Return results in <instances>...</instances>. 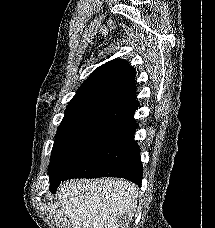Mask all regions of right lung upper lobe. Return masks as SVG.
<instances>
[{"label":"right lung upper lobe","instance_id":"cb5924a9","mask_svg":"<svg viewBox=\"0 0 215 228\" xmlns=\"http://www.w3.org/2000/svg\"><path fill=\"white\" fill-rule=\"evenodd\" d=\"M135 71L122 60L115 59L96 68L69 102L58 131L94 120L135 124Z\"/></svg>","mask_w":215,"mask_h":228}]
</instances>
